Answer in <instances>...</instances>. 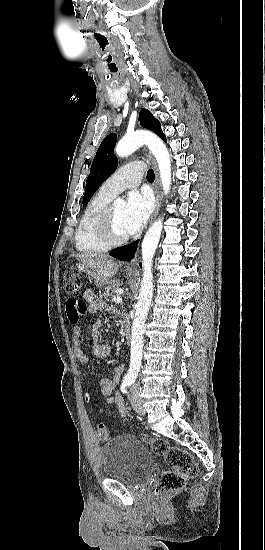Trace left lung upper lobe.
I'll return each mask as SVG.
<instances>
[{"mask_svg":"<svg viewBox=\"0 0 265 550\" xmlns=\"http://www.w3.org/2000/svg\"><path fill=\"white\" fill-rule=\"evenodd\" d=\"M140 124L155 132L166 141L159 121L146 109H141L139 115ZM116 135H108L99 146L91 165V171L86 181V189L83 197V205H86L98 187L116 170L118 162L114 155Z\"/></svg>","mask_w":265,"mask_h":550,"instance_id":"left-lung-upper-lobe-1","label":"left lung upper lobe"}]
</instances>
